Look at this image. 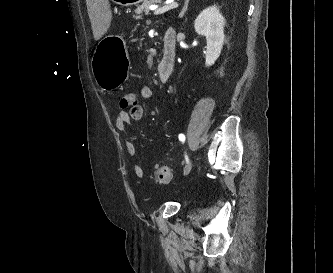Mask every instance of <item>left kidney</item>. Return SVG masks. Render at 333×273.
<instances>
[{
  "label": "left kidney",
  "mask_w": 333,
  "mask_h": 273,
  "mask_svg": "<svg viewBox=\"0 0 333 273\" xmlns=\"http://www.w3.org/2000/svg\"><path fill=\"white\" fill-rule=\"evenodd\" d=\"M224 26L225 19L215 5L204 9L194 22L195 31L206 37V66L213 65L220 56L225 39Z\"/></svg>",
  "instance_id": "5707ae66"
}]
</instances>
